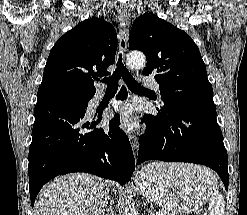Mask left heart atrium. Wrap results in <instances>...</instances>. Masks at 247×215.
I'll use <instances>...</instances> for the list:
<instances>
[{
	"label": "left heart atrium",
	"instance_id": "39dd6f15",
	"mask_svg": "<svg viewBox=\"0 0 247 215\" xmlns=\"http://www.w3.org/2000/svg\"><path fill=\"white\" fill-rule=\"evenodd\" d=\"M134 108L132 105H125L119 110V119L121 126L126 130H131L137 127V123L133 117Z\"/></svg>",
	"mask_w": 247,
	"mask_h": 215
}]
</instances>
